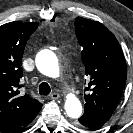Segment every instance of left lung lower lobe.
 <instances>
[{
    "mask_svg": "<svg viewBox=\"0 0 133 133\" xmlns=\"http://www.w3.org/2000/svg\"><path fill=\"white\" fill-rule=\"evenodd\" d=\"M110 117L111 116L109 115H100L85 110L84 114L78 119V125L85 126L89 129H98L102 127L110 119Z\"/></svg>",
    "mask_w": 133,
    "mask_h": 133,
    "instance_id": "left-lung-lower-lobe-1",
    "label": "left lung lower lobe"
}]
</instances>
